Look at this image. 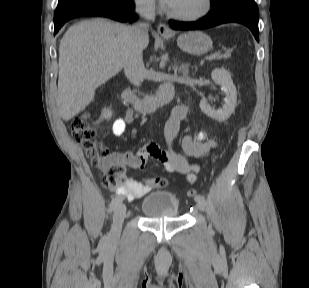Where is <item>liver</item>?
<instances>
[{"mask_svg": "<svg viewBox=\"0 0 309 288\" xmlns=\"http://www.w3.org/2000/svg\"><path fill=\"white\" fill-rule=\"evenodd\" d=\"M149 43L143 39L142 49ZM130 27L105 19L71 26L59 45L57 107L64 121L85 109L96 89L124 67L130 47Z\"/></svg>", "mask_w": 309, "mask_h": 288, "instance_id": "liver-1", "label": "liver"}]
</instances>
